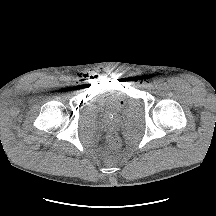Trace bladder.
Segmentation results:
<instances>
[{"label":"bladder","instance_id":"bladder-1","mask_svg":"<svg viewBox=\"0 0 216 216\" xmlns=\"http://www.w3.org/2000/svg\"><path fill=\"white\" fill-rule=\"evenodd\" d=\"M128 98L118 92H103L93 98V105L105 111L120 110L127 103Z\"/></svg>","mask_w":216,"mask_h":216}]
</instances>
